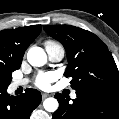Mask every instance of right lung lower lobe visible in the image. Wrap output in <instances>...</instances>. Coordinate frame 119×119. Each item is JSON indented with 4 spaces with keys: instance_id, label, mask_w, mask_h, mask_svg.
<instances>
[{
    "instance_id": "98d812e1",
    "label": "right lung lower lobe",
    "mask_w": 119,
    "mask_h": 119,
    "mask_svg": "<svg viewBox=\"0 0 119 119\" xmlns=\"http://www.w3.org/2000/svg\"><path fill=\"white\" fill-rule=\"evenodd\" d=\"M6 90H0V119H29L32 111L41 102L40 92L26 89L19 96H10Z\"/></svg>"
}]
</instances>
